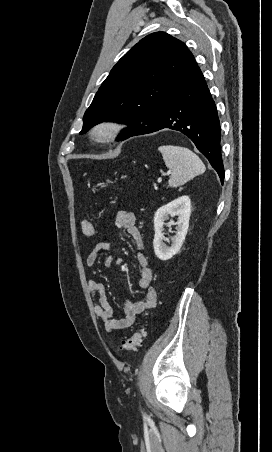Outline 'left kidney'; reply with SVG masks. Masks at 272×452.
<instances>
[{
    "mask_svg": "<svg viewBox=\"0 0 272 452\" xmlns=\"http://www.w3.org/2000/svg\"><path fill=\"white\" fill-rule=\"evenodd\" d=\"M191 215V200L189 196H181L170 203L160 207L154 215V240L153 246L156 256L163 261L171 259L182 247L189 227ZM169 216H178L177 222L168 223V226L176 224V235L172 239V244L166 246L163 243L164 225Z\"/></svg>",
    "mask_w": 272,
    "mask_h": 452,
    "instance_id": "obj_1",
    "label": "left kidney"
}]
</instances>
